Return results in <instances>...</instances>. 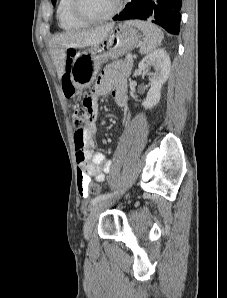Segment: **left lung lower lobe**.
I'll use <instances>...</instances> for the list:
<instances>
[{
  "mask_svg": "<svg viewBox=\"0 0 227 298\" xmlns=\"http://www.w3.org/2000/svg\"><path fill=\"white\" fill-rule=\"evenodd\" d=\"M181 2L182 0H129L124 10L114 16L113 20H147L160 25L171 34H178Z\"/></svg>",
  "mask_w": 227,
  "mask_h": 298,
  "instance_id": "obj_1",
  "label": "left lung lower lobe"
}]
</instances>
